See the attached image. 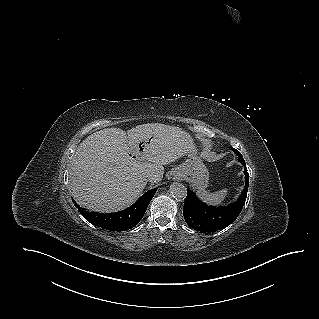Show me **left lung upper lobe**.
<instances>
[{
  "label": "left lung upper lobe",
  "instance_id": "left-lung-upper-lobe-1",
  "mask_svg": "<svg viewBox=\"0 0 319 319\" xmlns=\"http://www.w3.org/2000/svg\"><path fill=\"white\" fill-rule=\"evenodd\" d=\"M232 150H233V152H235V153L237 154V156L239 157V159H240L241 161H244V159H243V157H242V155H241V153H240L239 151H237V150L234 149V148H232Z\"/></svg>",
  "mask_w": 319,
  "mask_h": 319
}]
</instances>
